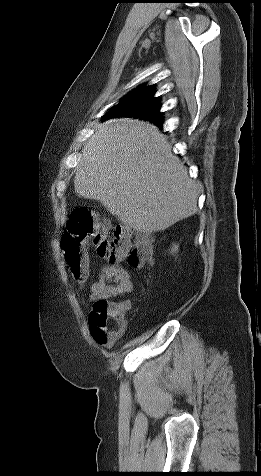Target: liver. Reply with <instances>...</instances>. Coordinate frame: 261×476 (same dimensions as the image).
<instances>
[{
  "instance_id": "1",
  "label": "liver",
  "mask_w": 261,
  "mask_h": 476,
  "mask_svg": "<svg viewBox=\"0 0 261 476\" xmlns=\"http://www.w3.org/2000/svg\"><path fill=\"white\" fill-rule=\"evenodd\" d=\"M76 193L136 231H163L197 212L198 187L166 137L131 118L98 124L75 168Z\"/></svg>"
}]
</instances>
